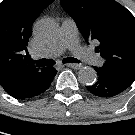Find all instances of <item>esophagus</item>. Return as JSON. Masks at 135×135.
Returning <instances> with one entry per match:
<instances>
[{
    "mask_svg": "<svg viewBox=\"0 0 135 135\" xmlns=\"http://www.w3.org/2000/svg\"><path fill=\"white\" fill-rule=\"evenodd\" d=\"M67 67L73 68V69H80L82 68V64H66Z\"/></svg>",
    "mask_w": 135,
    "mask_h": 135,
    "instance_id": "34e87169",
    "label": "esophagus"
}]
</instances>
